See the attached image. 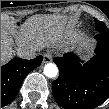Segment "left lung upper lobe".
<instances>
[{
	"mask_svg": "<svg viewBox=\"0 0 109 109\" xmlns=\"http://www.w3.org/2000/svg\"><path fill=\"white\" fill-rule=\"evenodd\" d=\"M95 27L99 33L109 34V29L106 27V25L103 22L98 21L97 19H95Z\"/></svg>",
	"mask_w": 109,
	"mask_h": 109,
	"instance_id": "5c2ea615",
	"label": "left lung upper lobe"
}]
</instances>
